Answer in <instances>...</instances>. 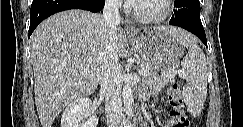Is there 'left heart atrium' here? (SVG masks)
I'll return each mask as SVG.
<instances>
[{
  "mask_svg": "<svg viewBox=\"0 0 243 127\" xmlns=\"http://www.w3.org/2000/svg\"><path fill=\"white\" fill-rule=\"evenodd\" d=\"M138 2H139V0H128L127 1V3L130 4V5L136 4Z\"/></svg>",
  "mask_w": 243,
  "mask_h": 127,
  "instance_id": "1",
  "label": "left heart atrium"
}]
</instances>
